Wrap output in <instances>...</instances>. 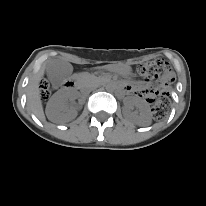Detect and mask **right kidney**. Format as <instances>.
Wrapping results in <instances>:
<instances>
[{"label":"right kidney","mask_w":206,"mask_h":206,"mask_svg":"<svg viewBox=\"0 0 206 206\" xmlns=\"http://www.w3.org/2000/svg\"><path fill=\"white\" fill-rule=\"evenodd\" d=\"M76 96V93L58 92L54 94L46 106L48 119L57 123H64L74 119L77 116V112L68 107L67 100L74 99Z\"/></svg>","instance_id":"1"}]
</instances>
